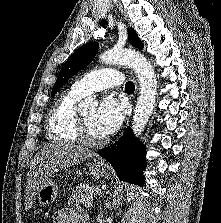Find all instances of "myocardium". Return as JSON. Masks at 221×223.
Returning <instances> with one entry per match:
<instances>
[{
    "mask_svg": "<svg viewBox=\"0 0 221 223\" xmlns=\"http://www.w3.org/2000/svg\"><path fill=\"white\" fill-rule=\"evenodd\" d=\"M76 134H77L78 140L87 146L97 147V146L104 145L107 142L106 137L97 138V137L91 136L88 126L86 124V121L82 115H79L78 117Z\"/></svg>",
    "mask_w": 221,
    "mask_h": 223,
    "instance_id": "obj_1",
    "label": "myocardium"
}]
</instances>
